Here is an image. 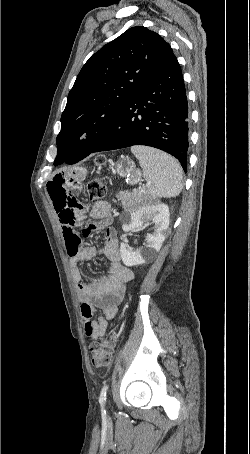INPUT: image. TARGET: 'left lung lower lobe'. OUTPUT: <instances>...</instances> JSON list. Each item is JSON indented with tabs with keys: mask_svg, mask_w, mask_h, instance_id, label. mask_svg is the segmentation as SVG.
Wrapping results in <instances>:
<instances>
[{
	"mask_svg": "<svg viewBox=\"0 0 250 454\" xmlns=\"http://www.w3.org/2000/svg\"><path fill=\"white\" fill-rule=\"evenodd\" d=\"M188 124L183 75L173 54L128 101L91 153L133 145L151 146L176 157L186 172ZM83 158L64 156L54 165L74 164Z\"/></svg>",
	"mask_w": 250,
	"mask_h": 454,
	"instance_id": "1",
	"label": "left lung lower lobe"
}]
</instances>
